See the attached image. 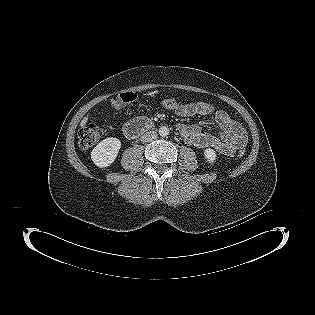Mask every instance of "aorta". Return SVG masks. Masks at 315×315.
Wrapping results in <instances>:
<instances>
[{
    "instance_id": "762f6f07",
    "label": "aorta",
    "mask_w": 315,
    "mask_h": 315,
    "mask_svg": "<svg viewBox=\"0 0 315 315\" xmlns=\"http://www.w3.org/2000/svg\"><path fill=\"white\" fill-rule=\"evenodd\" d=\"M159 134H160V136L165 137L169 134V129L165 126H162L159 129Z\"/></svg>"
}]
</instances>
